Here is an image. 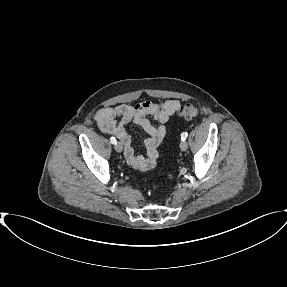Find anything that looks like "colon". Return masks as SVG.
Segmentation results:
<instances>
[{
	"mask_svg": "<svg viewBox=\"0 0 287 287\" xmlns=\"http://www.w3.org/2000/svg\"><path fill=\"white\" fill-rule=\"evenodd\" d=\"M178 113L181 118L190 120L196 118L199 114V111L196 106L192 104H186L178 108Z\"/></svg>",
	"mask_w": 287,
	"mask_h": 287,
	"instance_id": "5ec220e1",
	"label": "colon"
}]
</instances>
